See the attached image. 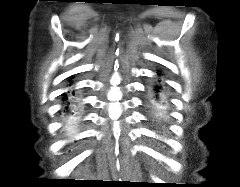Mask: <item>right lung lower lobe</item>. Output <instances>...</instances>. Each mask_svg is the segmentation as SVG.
<instances>
[{
    "instance_id": "1",
    "label": "right lung lower lobe",
    "mask_w": 240,
    "mask_h": 187,
    "mask_svg": "<svg viewBox=\"0 0 240 187\" xmlns=\"http://www.w3.org/2000/svg\"><path fill=\"white\" fill-rule=\"evenodd\" d=\"M63 96H64L63 101H66L65 102V105H66L65 110H67V111L72 110L73 111L76 107V104L74 102L68 100L67 95L65 93L63 94Z\"/></svg>"
}]
</instances>
